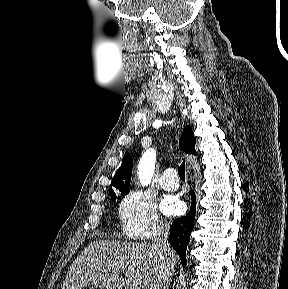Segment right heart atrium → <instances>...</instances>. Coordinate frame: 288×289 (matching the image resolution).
Instances as JSON below:
<instances>
[{"label": "right heart atrium", "mask_w": 288, "mask_h": 289, "mask_svg": "<svg viewBox=\"0 0 288 289\" xmlns=\"http://www.w3.org/2000/svg\"><path fill=\"white\" fill-rule=\"evenodd\" d=\"M119 217L123 233L135 240H152L167 228L154 200L139 190L129 192L122 199Z\"/></svg>", "instance_id": "1"}]
</instances>
